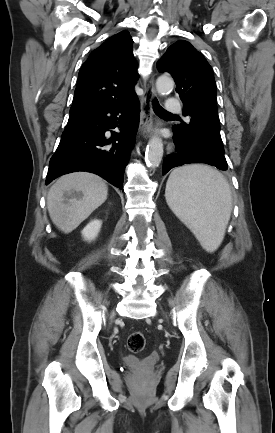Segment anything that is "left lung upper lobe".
<instances>
[{
  "mask_svg": "<svg viewBox=\"0 0 275 433\" xmlns=\"http://www.w3.org/2000/svg\"><path fill=\"white\" fill-rule=\"evenodd\" d=\"M157 69L172 75L183 102V115L189 117L172 127L174 135L195 158L226 170L211 66L189 42L179 40L167 49Z\"/></svg>",
  "mask_w": 275,
  "mask_h": 433,
  "instance_id": "left-lung-upper-lobe-1",
  "label": "left lung upper lobe"
}]
</instances>
